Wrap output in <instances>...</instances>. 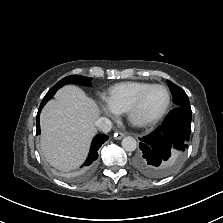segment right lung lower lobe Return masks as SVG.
<instances>
[{"instance_id": "right-lung-lower-lobe-1", "label": "right lung lower lobe", "mask_w": 223, "mask_h": 223, "mask_svg": "<svg viewBox=\"0 0 223 223\" xmlns=\"http://www.w3.org/2000/svg\"><path fill=\"white\" fill-rule=\"evenodd\" d=\"M47 101H42L41 105L39 107L37 116H36V135L40 134V124H39V116H40V111L43 108V106L45 105ZM108 136L104 135V134H99L97 136H95V138L92 141V145L90 148V152H89V156L87 158V160L85 161V163L83 164V169L81 170V172H79L76 175V178H84L86 176H88L95 165V161L98 158V149L100 148V146L108 140Z\"/></svg>"}]
</instances>
